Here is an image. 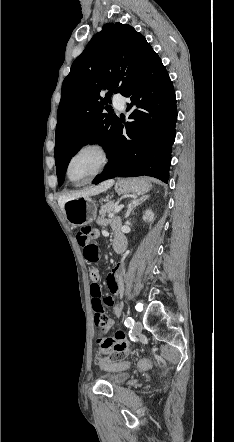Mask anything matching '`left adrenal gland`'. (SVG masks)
Instances as JSON below:
<instances>
[{"label":"left adrenal gland","mask_w":234,"mask_h":442,"mask_svg":"<svg viewBox=\"0 0 234 442\" xmlns=\"http://www.w3.org/2000/svg\"><path fill=\"white\" fill-rule=\"evenodd\" d=\"M148 198H149V195H144L141 198L132 200L127 206V212L125 214V218H128L130 213L132 212V210L134 208H136L138 205H140L142 202L147 200Z\"/></svg>","instance_id":"1"}]
</instances>
